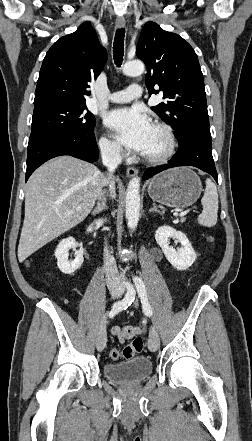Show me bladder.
<instances>
[{"mask_svg":"<svg viewBox=\"0 0 252 441\" xmlns=\"http://www.w3.org/2000/svg\"><path fill=\"white\" fill-rule=\"evenodd\" d=\"M104 376L118 384H134L145 380L152 372V362L144 356H136L120 363H106Z\"/></svg>","mask_w":252,"mask_h":441,"instance_id":"31cf9c89","label":"bladder"}]
</instances>
